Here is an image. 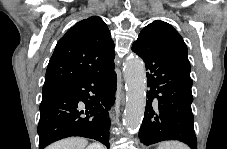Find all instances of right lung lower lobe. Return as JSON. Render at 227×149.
<instances>
[{
	"label": "right lung lower lobe",
	"mask_w": 227,
	"mask_h": 149,
	"mask_svg": "<svg viewBox=\"0 0 227 149\" xmlns=\"http://www.w3.org/2000/svg\"><path fill=\"white\" fill-rule=\"evenodd\" d=\"M113 60L99 70L54 88L42 98L39 149L70 136L95 139L109 148L108 110L116 90ZM79 102L85 107H80Z\"/></svg>",
	"instance_id": "98d812e1"
}]
</instances>
